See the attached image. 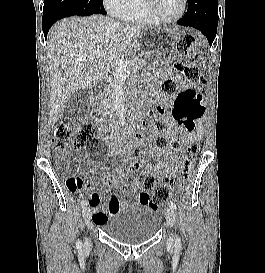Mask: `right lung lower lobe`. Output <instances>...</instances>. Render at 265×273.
I'll list each match as a JSON object with an SVG mask.
<instances>
[{"mask_svg":"<svg viewBox=\"0 0 265 273\" xmlns=\"http://www.w3.org/2000/svg\"><path fill=\"white\" fill-rule=\"evenodd\" d=\"M73 15H78L74 12L70 11H55L53 13H50L48 15H43L42 21H43V33L45 38H47V34L51 26L59 19L68 17V16H73ZM78 16H88V15H78Z\"/></svg>","mask_w":265,"mask_h":273,"instance_id":"right-lung-lower-lobe-1","label":"right lung lower lobe"}]
</instances>
